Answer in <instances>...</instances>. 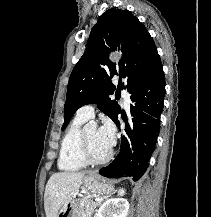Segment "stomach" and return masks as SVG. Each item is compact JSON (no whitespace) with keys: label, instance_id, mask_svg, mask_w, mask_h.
Masks as SVG:
<instances>
[{"label":"stomach","instance_id":"stomach-1","mask_svg":"<svg viewBox=\"0 0 211 217\" xmlns=\"http://www.w3.org/2000/svg\"><path fill=\"white\" fill-rule=\"evenodd\" d=\"M83 186L91 194L105 195L110 194L114 190L112 184L94 172H90L87 176L84 177ZM78 206L79 202L73 196L62 206L58 217H78Z\"/></svg>","mask_w":211,"mask_h":217}]
</instances>
